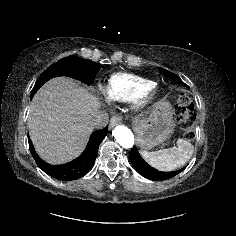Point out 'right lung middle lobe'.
Listing matches in <instances>:
<instances>
[{"mask_svg": "<svg viewBox=\"0 0 236 236\" xmlns=\"http://www.w3.org/2000/svg\"><path fill=\"white\" fill-rule=\"evenodd\" d=\"M102 65L76 56L65 57L46 69L37 79L31 97L49 79L57 76H68L90 85Z\"/></svg>", "mask_w": 236, "mask_h": 236, "instance_id": "1", "label": "right lung middle lobe"}]
</instances>
